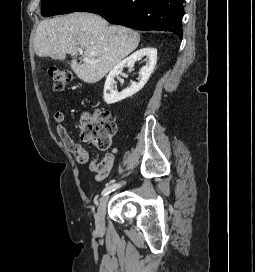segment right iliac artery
Instances as JSON below:
<instances>
[{"label": "right iliac artery", "mask_w": 255, "mask_h": 272, "mask_svg": "<svg viewBox=\"0 0 255 272\" xmlns=\"http://www.w3.org/2000/svg\"><path fill=\"white\" fill-rule=\"evenodd\" d=\"M121 185H122L121 183H115V184L109 185L103 189L101 195L105 196V195L109 194L110 192L116 190L117 188L121 187Z\"/></svg>", "instance_id": "1"}]
</instances>
